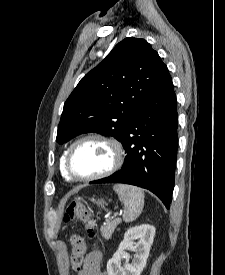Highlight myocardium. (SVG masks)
<instances>
[{"mask_svg": "<svg viewBox=\"0 0 225 275\" xmlns=\"http://www.w3.org/2000/svg\"><path fill=\"white\" fill-rule=\"evenodd\" d=\"M89 140L101 141V142L107 144L111 148L112 154H113L112 164L110 165V167L108 169H106L103 172H99V173H96L93 175H87V176L78 175L72 170L71 157H72V154H73L75 148L78 145H80L83 142L89 141ZM123 160H124V151H123L122 145L120 144L119 141H117L114 138L102 135V134H88V135H85V136L77 139L76 141H74L71 144V146L69 147V149L66 152L64 167H65L67 174L73 179L81 180V181H93V180H98V179L108 177V176L112 175L113 173H115L121 167Z\"/></svg>", "mask_w": 225, "mask_h": 275, "instance_id": "myocardium-1", "label": "myocardium"}]
</instances>
